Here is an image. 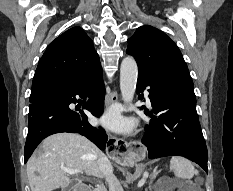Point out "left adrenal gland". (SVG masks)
Segmentation results:
<instances>
[{
    "instance_id": "left-adrenal-gland-1",
    "label": "left adrenal gland",
    "mask_w": 233,
    "mask_h": 191,
    "mask_svg": "<svg viewBox=\"0 0 233 191\" xmlns=\"http://www.w3.org/2000/svg\"><path fill=\"white\" fill-rule=\"evenodd\" d=\"M157 168L154 169L151 179L153 180L156 177Z\"/></svg>"
}]
</instances>
